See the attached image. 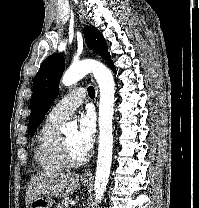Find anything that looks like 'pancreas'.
I'll return each mask as SVG.
<instances>
[{"label": "pancreas", "instance_id": "1", "mask_svg": "<svg viewBox=\"0 0 199 208\" xmlns=\"http://www.w3.org/2000/svg\"><path fill=\"white\" fill-rule=\"evenodd\" d=\"M71 199H65L61 203L58 204L57 208H69Z\"/></svg>", "mask_w": 199, "mask_h": 208}]
</instances>
